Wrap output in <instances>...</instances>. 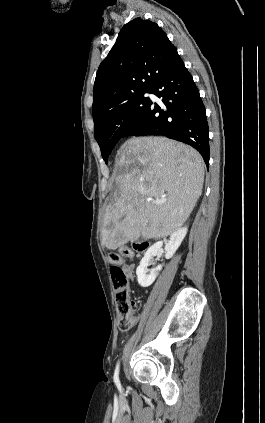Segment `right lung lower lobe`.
<instances>
[{
    "label": "right lung lower lobe",
    "mask_w": 265,
    "mask_h": 423,
    "mask_svg": "<svg viewBox=\"0 0 265 423\" xmlns=\"http://www.w3.org/2000/svg\"><path fill=\"white\" fill-rule=\"evenodd\" d=\"M149 91L162 97L164 106L151 102L123 137L163 135L181 141L197 149L208 166L210 151L205 107L178 54L157 76Z\"/></svg>",
    "instance_id": "98d812e1"
}]
</instances>
